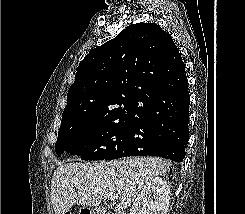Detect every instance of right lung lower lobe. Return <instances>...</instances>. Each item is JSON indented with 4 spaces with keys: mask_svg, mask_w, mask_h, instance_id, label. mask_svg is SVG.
Returning <instances> with one entry per match:
<instances>
[{
    "mask_svg": "<svg viewBox=\"0 0 245 214\" xmlns=\"http://www.w3.org/2000/svg\"><path fill=\"white\" fill-rule=\"evenodd\" d=\"M187 78L154 92L135 111L127 133V142L116 158L160 156L176 162L185 157L189 140V104Z\"/></svg>",
    "mask_w": 245,
    "mask_h": 214,
    "instance_id": "right-lung-lower-lobe-1",
    "label": "right lung lower lobe"
}]
</instances>
